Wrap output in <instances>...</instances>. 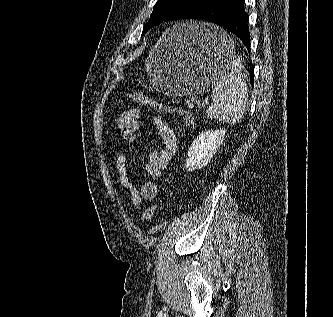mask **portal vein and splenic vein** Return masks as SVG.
Returning a JSON list of instances; mask_svg holds the SVG:
<instances>
[{"mask_svg": "<svg viewBox=\"0 0 333 317\" xmlns=\"http://www.w3.org/2000/svg\"><path fill=\"white\" fill-rule=\"evenodd\" d=\"M187 106L189 109H192L194 107L193 103H190V102L187 103Z\"/></svg>", "mask_w": 333, "mask_h": 317, "instance_id": "1", "label": "portal vein and splenic vein"}]
</instances>
